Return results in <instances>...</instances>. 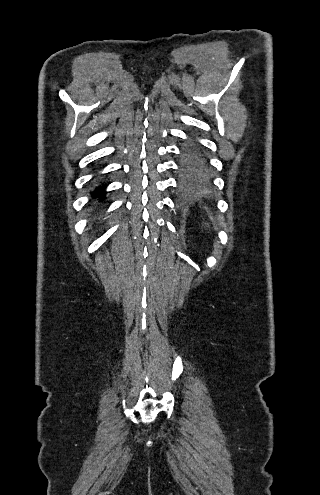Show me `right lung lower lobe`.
I'll list each match as a JSON object with an SVG mask.
<instances>
[{
    "label": "right lung lower lobe",
    "mask_w": 320,
    "mask_h": 495,
    "mask_svg": "<svg viewBox=\"0 0 320 495\" xmlns=\"http://www.w3.org/2000/svg\"><path fill=\"white\" fill-rule=\"evenodd\" d=\"M105 188H106V185L105 186L104 185H99L98 187H96L95 190H93L91 192L92 197L95 198V199H98L99 201L104 200V198H105V192H104Z\"/></svg>",
    "instance_id": "1"
}]
</instances>
